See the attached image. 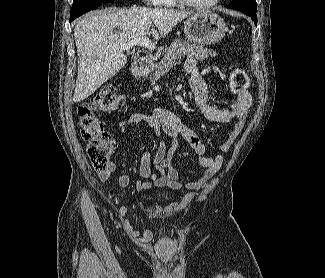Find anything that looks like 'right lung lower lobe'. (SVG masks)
Segmentation results:
<instances>
[{
  "label": "right lung lower lobe",
  "instance_id": "obj_1",
  "mask_svg": "<svg viewBox=\"0 0 325 278\" xmlns=\"http://www.w3.org/2000/svg\"><path fill=\"white\" fill-rule=\"evenodd\" d=\"M115 0L100 1V0H73L71 8L70 22L82 14L99 7L102 4L110 3Z\"/></svg>",
  "mask_w": 325,
  "mask_h": 278
}]
</instances>
